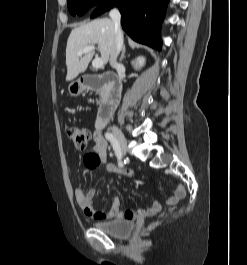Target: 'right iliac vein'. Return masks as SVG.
Returning a JSON list of instances; mask_svg holds the SVG:
<instances>
[{"mask_svg": "<svg viewBox=\"0 0 247 265\" xmlns=\"http://www.w3.org/2000/svg\"><path fill=\"white\" fill-rule=\"evenodd\" d=\"M112 132L119 144V147L121 149V152L125 155L127 151V140L124 136V134L118 129L117 127H114L112 129Z\"/></svg>", "mask_w": 247, "mask_h": 265, "instance_id": "63e3f726", "label": "right iliac vein"}]
</instances>
